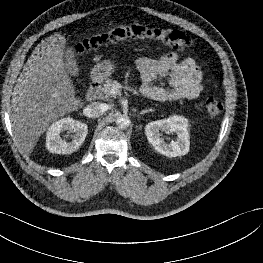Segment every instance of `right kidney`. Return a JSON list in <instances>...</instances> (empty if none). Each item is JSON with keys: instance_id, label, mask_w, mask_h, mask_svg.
Segmentation results:
<instances>
[{"instance_id": "1", "label": "right kidney", "mask_w": 263, "mask_h": 263, "mask_svg": "<svg viewBox=\"0 0 263 263\" xmlns=\"http://www.w3.org/2000/svg\"><path fill=\"white\" fill-rule=\"evenodd\" d=\"M73 132L71 141L61 138V133ZM88 134V126L73 118H61L54 122L46 133V148L57 154H70L79 149Z\"/></svg>"}]
</instances>
